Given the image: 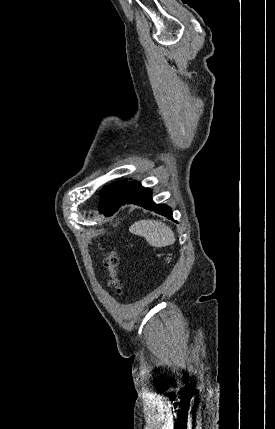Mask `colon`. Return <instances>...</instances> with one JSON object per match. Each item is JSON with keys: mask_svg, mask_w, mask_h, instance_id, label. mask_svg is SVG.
<instances>
[{"mask_svg": "<svg viewBox=\"0 0 275 429\" xmlns=\"http://www.w3.org/2000/svg\"><path fill=\"white\" fill-rule=\"evenodd\" d=\"M104 266L109 271V283L117 294L122 293V281L118 277L119 257L115 250L106 253Z\"/></svg>", "mask_w": 275, "mask_h": 429, "instance_id": "1", "label": "colon"}]
</instances>
